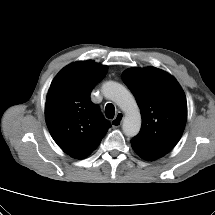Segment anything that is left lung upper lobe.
Returning <instances> with one entry per match:
<instances>
[{
    "mask_svg": "<svg viewBox=\"0 0 215 215\" xmlns=\"http://www.w3.org/2000/svg\"><path fill=\"white\" fill-rule=\"evenodd\" d=\"M122 80L136 98L141 130L131 140L135 152L158 159L180 140L187 120L185 94L169 73L155 67L132 68Z\"/></svg>",
    "mask_w": 215,
    "mask_h": 215,
    "instance_id": "left-lung-upper-lobe-1",
    "label": "left lung upper lobe"
}]
</instances>
